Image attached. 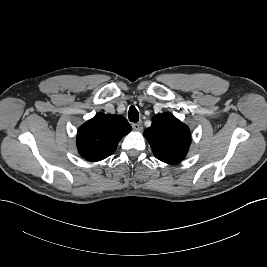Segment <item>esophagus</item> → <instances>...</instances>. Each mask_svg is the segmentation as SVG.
<instances>
[{
	"mask_svg": "<svg viewBox=\"0 0 267 267\" xmlns=\"http://www.w3.org/2000/svg\"><path fill=\"white\" fill-rule=\"evenodd\" d=\"M132 128L136 131H141L143 129L142 122L133 123Z\"/></svg>",
	"mask_w": 267,
	"mask_h": 267,
	"instance_id": "esophagus-1",
	"label": "esophagus"
}]
</instances>
